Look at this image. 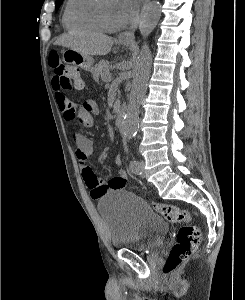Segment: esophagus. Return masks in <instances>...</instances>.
I'll return each mask as SVG.
<instances>
[{
	"label": "esophagus",
	"mask_w": 245,
	"mask_h": 300,
	"mask_svg": "<svg viewBox=\"0 0 245 300\" xmlns=\"http://www.w3.org/2000/svg\"><path fill=\"white\" fill-rule=\"evenodd\" d=\"M150 0H144V4H147ZM138 22H135L128 30L122 32L118 36V40L121 42H132L135 39V31L137 29Z\"/></svg>",
	"instance_id": "34e87169"
}]
</instances>
